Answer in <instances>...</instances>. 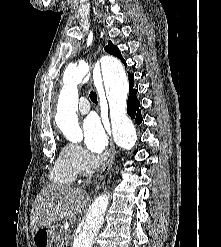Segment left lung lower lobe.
<instances>
[{
	"instance_id": "1",
	"label": "left lung lower lobe",
	"mask_w": 221,
	"mask_h": 247,
	"mask_svg": "<svg viewBox=\"0 0 221 247\" xmlns=\"http://www.w3.org/2000/svg\"><path fill=\"white\" fill-rule=\"evenodd\" d=\"M138 90L134 87V76L129 75V97L127 102V113L136 120L138 124L142 122L140 102L137 99Z\"/></svg>"
}]
</instances>
